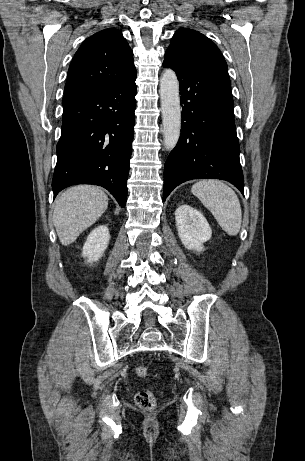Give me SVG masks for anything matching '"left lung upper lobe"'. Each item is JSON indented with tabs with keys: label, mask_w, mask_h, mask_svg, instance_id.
<instances>
[{
	"label": "left lung upper lobe",
	"mask_w": 305,
	"mask_h": 461,
	"mask_svg": "<svg viewBox=\"0 0 305 461\" xmlns=\"http://www.w3.org/2000/svg\"><path fill=\"white\" fill-rule=\"evenodd\" d=\"M165 60L173 65L190 69L227 68L218 47L203 34L187 28H180L174 34L165 53Z\"/></svg>",
	"instance_id": "1"
}]
</instances>
